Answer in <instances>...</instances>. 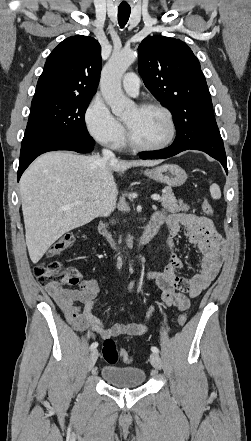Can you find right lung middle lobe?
Masks as SVG:
<instances>
[{
    "label": "right lung middle lobe",
    "instance_id": "1",
    "mask_svg": "<svg viewBox=\"0 0 251 441\" xmlns=\"http://www.w3.org/2000/svg\"><path fill=\"white\" fill-rule=\"evenodd\" d=\"M92 97H53L34 100L27 126H40L73 137H90L85 112Z\"/></svg>",
    "mask_w": 251,
    "mask_h": 441
}]
</instances>
